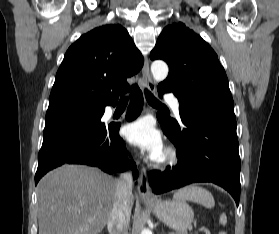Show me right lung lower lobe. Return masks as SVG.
Masks as SVG:
<instances>
[{
  "mask_svg": "<svg viewBox=\"0 0 279 234\" xmlns=\"http://www.w3.org/2000/svg\"><path fill=\"white\" fill-rule=\"evenodd\" d=\"M130 91L131 104L126 116L128 121L140 114L143 105L138 86H133ZM119 128L118 123L106 125L100 119L97 123H65L45 128L38 154L35 184L48 171L62 164H85L99 167L107 173L122 172L125 167H130L134 178H137V168L127 159L125 143L118 134Z\"/></svg>",
  "mask_w": 279,
  "mask_h": 234,
  "instance_id": "98d812e1",
  "label": "right lung lower lobe"
}]
</instances>
